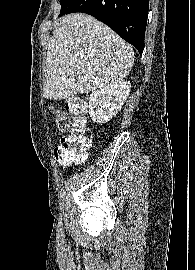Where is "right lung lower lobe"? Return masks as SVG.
I'll return each instance as SVG.
<instances>
[{
	"label": "right lung lower lobe",
	"instance_id": "1",
	"mask_svg": "<svg viewBox=\"0 0 195 270\" xmlns=\"http://www.w3.org/2000/svg\"><path fill=\"white\" fill-rule=\"evenodd\" d=\"M149 0H77L69 13L92 15L108 25L142 55Z\"/></svg>",
	"mask_w": 195,
	"mask_h": 270
}]
</instances>
